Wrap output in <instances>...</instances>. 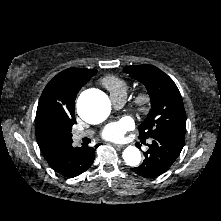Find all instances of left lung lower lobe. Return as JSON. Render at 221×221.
<instances>
[{"instance_id":"1","label":"left lung lower lobe","mask_w":221,"mask_h":221,"mask_svg":"<svg viewBox=\"0 0 221 221\" xmlns=\"http://www.w3.org/2000/svg\"><path fill=\"white\" fill-rule=\"evenodd\" d=\"M144 153L145 160L139 167L131 168L144 178H155L165 173L179 156L185 141V135L158 134Z\"/></svg>"}]
</instances>
